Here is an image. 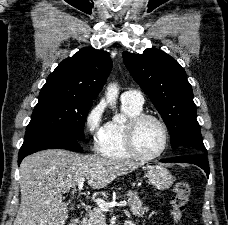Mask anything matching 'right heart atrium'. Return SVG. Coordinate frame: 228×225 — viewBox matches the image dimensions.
Returning a JSON list of instances; mask_svg holds the SVG:
<instances>
[{
  "label": "right heart atrium",
  "instance_id": "obj_1",
  "mask_svg": "<svg viewBox=\"0 0 228 225\" xmlns=\"http://www.w3.org/2000/svg\"><path fill=\"white\" fill-rule=\"evenodd\" d=\"M104 116L105 103L103 101H99L90 107L84 116L86 133L91 137L95 146L98 145L108 127V122L105 121Z\"/></svg>",
  "mask_w": 228,
  "mask_h": 225
}]
</instances>
